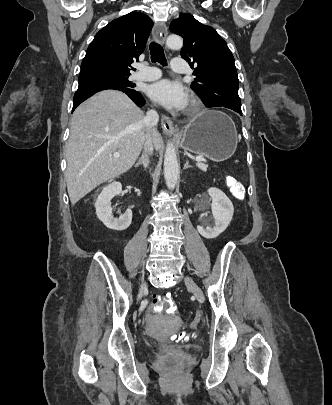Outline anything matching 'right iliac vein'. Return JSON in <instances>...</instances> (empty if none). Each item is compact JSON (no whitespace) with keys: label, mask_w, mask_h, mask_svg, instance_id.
I'll return each instance as SVG.
<instances>
[{"label":"right iliac vein","mask_w":332,"mask_h":405,"mask_svg":"<svg viewBox=\"0 0 332 405\" xmlns=\"http://www.w3.org/2000/svg\"><path fill=\"white\" fill-rule=\"evenodd\" d=\"M146 289H147V283L143 282L140 287V290H139L138 299H140L143 296V293L146 291Z\"/></svg>","instance_id":"63e3f726"}]
</instances>
